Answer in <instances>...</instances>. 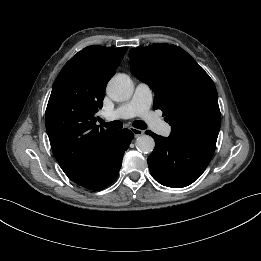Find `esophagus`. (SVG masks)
Returning a JSON list of instances; mask_svg holds the SVG:
<instances>
[{
	"mask_svg": "<svg viewBox=\"0 0 261 261\" xmlns=\"http://www.w3.org/2000/svg\"><path fill=\"white\" fill-rule=\"evenodd\" d=\"M132 132L135 137H139L144 134V130L137 129V128H132Z\"/></svg>",
	"mask_w": 261,
	"mask_h": 261,
	"instance_id": "esophagus-1",
	"label": "esophagus"
}]
</instances>
